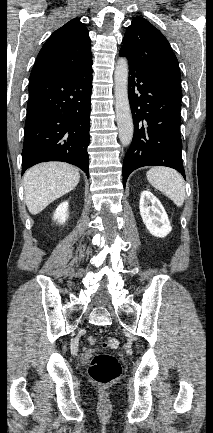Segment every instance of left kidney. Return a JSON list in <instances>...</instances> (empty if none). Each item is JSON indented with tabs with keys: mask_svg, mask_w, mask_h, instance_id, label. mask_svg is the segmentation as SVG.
I'll use <instances>...</instances> for the list:
<instances>
[{
	"mask_svg": "<svg viewBox=\"0 0 213 433\" xmlns=\"http://www.w3.org/2000/svg\"><path fill=\"white\" fill-rule=\"evenodd\" d=\"M140 215L150 232L155 237L164 238L172 227L161 202L150 191H143L140 197Z\"/></svg>",
	"mask_w": 213,
	"mask_h": 433,
	"instance_id": "1",
	"label": "left kidney"
}]
</instances>
